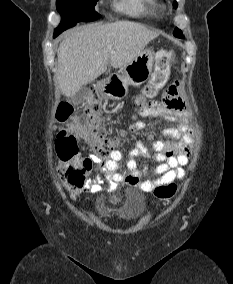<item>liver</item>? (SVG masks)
Listing matches in <instances>:
<instances>
[{
  "instance_id": "1",
  "label": "liver",
  "mask_w": 233,
  "mask_h": 284,
  "mask_svg": "<svg viewBox=\"0 0 233 284\" xmlns=\"http://www.w3.org/2000/svg\"><path fill=\"white\" fill-rule=\"evenodd\" d=\"M159 35L145 26L117 21L88 25L71 31L61 41L57 79L62 93L73 97L107 70V65L124 67Z\"/></svg>"
}]
</instances>
